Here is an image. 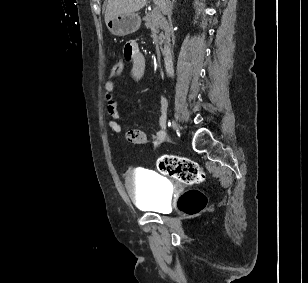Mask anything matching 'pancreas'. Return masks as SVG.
<instances>
[{
	"label": "pancreas",
	"mask_w": 308,
	"mask_h": 283,
	"mask_svg": "<svg viewBox=\"0 0 308 283\" xmlns=\"http://www.w3.org/2000/svg\"><path fill=\"white\" fill-rule=\"evenodd\" d=\"M145 26L154 33H159V45L164 55L169 54L170 51V26L169 23L162 16L161 11H152L147 13L144 18Z\"/></svg>",
	"instance_id": "1"
}]
</instances>
